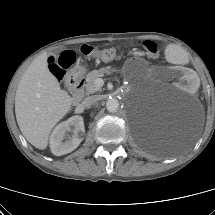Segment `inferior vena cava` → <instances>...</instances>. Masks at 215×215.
Listing matches in <instances>:
<instances>
[{"label":"inferior vena cava","instance_id":"602c4592","mask_svg":"<svg viewBox=\"0 0 215 215\" xmlns=\"http://www.w3.org/2000/svg\"><path fill=\"white\" fill-rule=\"evenodd\" d=\"M98 101H99L98 96H89L82 101L81 105L85 108H90L94 106Z\"/></svg>","mask_w":215,"mask_h":215}]
</instances>
